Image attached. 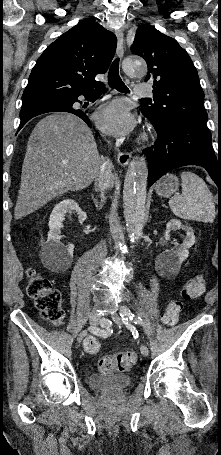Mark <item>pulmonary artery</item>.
I'll return each instance as SVG.
<instances>
[{
  "instance_id": "obj_1",
  "label": "pulmonary artery",
  "mask_w": 221,
  "mask_h": 455,
  "mask_svg": "<svg viewBox=\"0 0 221 455\" xmlns=\"http://www.w3.org/2000/svg\"><path fill=\"white\" fill-rule=\"evenodd\" d=\"M134 94L141 97L152 96V88L147 84H138L134 88Z\"/></svg>"
}]
</instances>
